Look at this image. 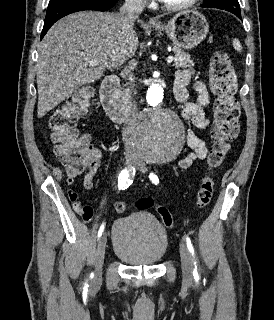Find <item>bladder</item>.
I'll list each match as a JSON object with an SVG mask.
<instances>
[{
  "mask_svg": "<svg viewBox=\"0 0 274 320\" xmlns=\"http://www.w3.org/2000/svg\"><path fill=\"white\" fill-rule=\"evenodd\" d=\"M168 246L165 227L151 214L131 212L112 225L113 253L129 265H155L165 257Z\"/></svg>",
  "mask_w": 274,
  "mask_h": 320,
  "instance_id": "31cf9c89",
  "label": "bladder"
}]
</instances>
